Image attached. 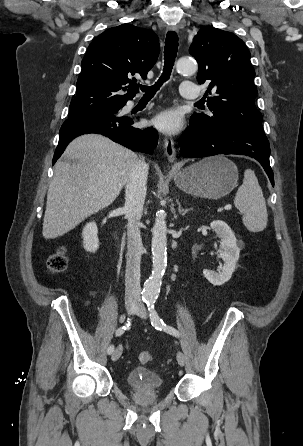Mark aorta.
<instances>
[{
	"mask_svg": "<svg viewBox=\"0 0 303 446\" xmlns=\"http://www.w3.org/2000/svg\"><path fill=\"white\" fill-rule=\"evenodd\" d=\"M182 74H193L197 71V64L189 59L181 58L176 64ZM152 273L144 283L143 298L154 301L160 293L162 277L167 267V226L165 215L158 213L152 231Z\"/></svg>",
	"mask_w": 303,
	"mask_h": 446,
	"instance_id": "1",
	"label": "aorta"
}]
</instances>
